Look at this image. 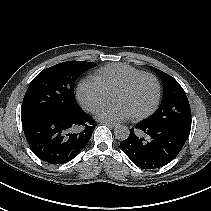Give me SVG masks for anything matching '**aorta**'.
<instances>
[{"label": "aorta", "instance_id": "762f6f07", "mask_svg": "<svg viewBox=\"0 0 211 211\" xmlns=\"http://www.w3.org/2000/svg\"><path fill=\"white\" fill-rule=\"evenodd\" d=\"M129 134H130V131H129L128 127H126V126L118 125L114 129L115 138L120 141L126 140L129 136Z\"/></svg>", "mask_w": 211, "mask_h": 211}]
</instances>
